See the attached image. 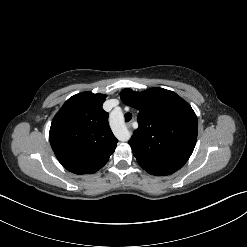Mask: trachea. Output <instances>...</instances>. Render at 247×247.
I'll use <instances>...</instances> for the list:
<instances>
[{
    "instance_id": "obj_1",
    "label": "trachea",
    "mask_w": 247,
    "mask_h": 247,
    "mask_svg": "<svg viewBox=\"0 0 247 247\" xmlns=\"http://www.w3.org/2000/svg\"><path fill=\"white\" fill-rule=\"evenodd\" d=\"M132 119V114L131 113H125V121L128 122Z\"/></svg>"
}]
</instances>
